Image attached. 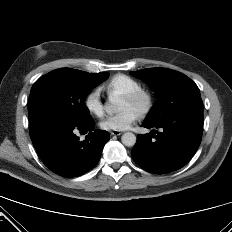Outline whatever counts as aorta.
Masks as SVG:
<instances>
[{
	"instance_id": "aorta-1",
	"label": "aorta",
	"mask_w": 232,
	"mask_h": 232,
	"mask_svg": "<svg viewBox=\"0 0 232 232\" xmlns=\"http://www.w3.org/2000/svg\"><path fill=\"white\" fill-rule=\"evenodd\" d=\"M120 105V99L118 97H113L109 103L105 105V110L107 113H116L118 112ZM121 141L125 146L131 147L136 143V136L131 132H126L122 135Z\"/></svg>"
}]
</instances>
